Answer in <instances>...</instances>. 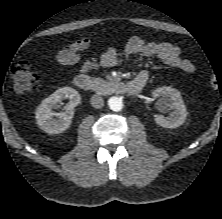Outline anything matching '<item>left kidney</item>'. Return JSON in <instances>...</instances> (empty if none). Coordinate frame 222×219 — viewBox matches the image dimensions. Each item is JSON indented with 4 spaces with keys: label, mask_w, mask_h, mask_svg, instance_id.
<instances>
[{
    "label": "left kidney",
    "mask_w": 222,
    "mask_h": 219,
    "mask_svg": "<svg viewBox=\"0 0 222 219\" xmlns=\"http://www.w3.org/2000/svg\"><path fill=\"white\" fill-rule=\"evenodd\" d=\"M155 97H161L158 102L161 110H173L169 117L158 115L155 122L164 128H176L182 125L187 116L185 104L180 92L172 87H160L153 93Z\"/></svg>",
    "instance_id": "5707ae66"
}]
</instances>
